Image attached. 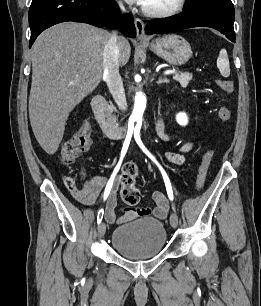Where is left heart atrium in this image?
I'll return each instance as SVG.
<instances>
[{
  "label": "left heart atrium",
  "mask_w": 261,
  "mask_h": 306,
  "mask_svg": "<svg viewBox=\"0 0 261 306\" xmlns=\"http://www.w3.org/2000/svg\"><path fill=\"white\" fill-rule=\"evenodd\" d=\"M125 1H127L128 3L139 4V5H142V6H145L148 2V0H125Z\"/></svg>",
  "instance_id": "39dd6f15"
}]
</instances>
